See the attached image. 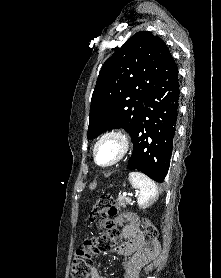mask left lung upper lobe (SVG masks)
Segmentation results:
<instances>
[{
  "label": "left lung upper lobe",
  "instance_id": "obj_1",
  "mask_svg": "<svg viewBox=\"0 0 221 278\" xmlns=\"http://www.w3.org/2000/svg\"><path fill=\"white\" fill-rule=\"evenodd\" d=\"M115 51L103 64L92 94L88 139L120 127L131 135L172 58L165 42L149 31L136 33Z\"/></svg>",
  "mask_w": 221,
  "mask_h": 278
}]
</instances>
